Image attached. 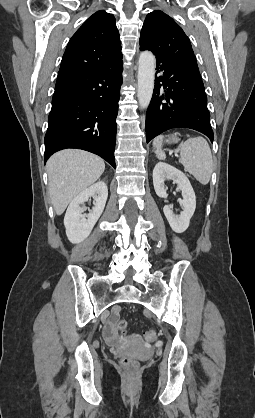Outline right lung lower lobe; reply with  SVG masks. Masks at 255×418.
Instances as JSON below:
<instances>
[{
	"mask_svg": "<svg viewBox=\"0 0 255 418\" xmlns=\"http://www.w3.org/2000/svg\"><path fill=\"white\" fill-rule=\"evenodd\" d=\"M122 62L59 76L45 135V162L66 148L95 153L115 168L116 117Z\"/></svg>",
	"mask_w": 255,
	"mask_h": 418,
	"instance_id": "1",
	"label": "right lung lower lobe"
}]
</instances>
